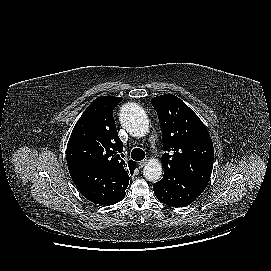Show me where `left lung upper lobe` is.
Listing matches in <instances>:
<instances>
[{
	"instance_id": "5c2ea615",
	"label": "left lung upper lobe",
	"mask_w": 271,
	"mask_h": 271,
	"mask_svg": "<svg viewBox=\"0 0 271 271\" xmlns=\"http://www.w3.org/2000/svg\"><path fill=\"white\" fill-rule=\"evenodd\" d=\"M162 130L161 158L164 173L179 172L206 187L214 162L213 143L199 117L177 96L165 94L154 97Z\"/></svg>"
}]
</instances>
